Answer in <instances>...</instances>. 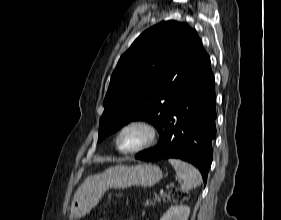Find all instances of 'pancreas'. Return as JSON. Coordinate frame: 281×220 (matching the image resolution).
<instances>
[{"instance_id": "pancreas-1", "label": "pancreas", "mask_w": 281, "mask_h": 220, "mask_svg": "<svg viewBox=\"0 0 281 220\" xmlns=\"http://www.w3.org/2000/svg\"><path fill=\"white\" fill-rule=\"evenodd\" d=\"M167 197V194H161V195H156L153 199V201L147 200L145 205L149 206V205H154L156 201L160 202L161 199H164Z\"/></svg>"}]
</instances>
